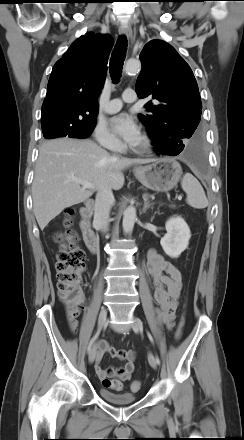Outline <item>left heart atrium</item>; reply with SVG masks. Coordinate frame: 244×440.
Wrapping results in <instances>:
<instances>
[{
    "label": "left heart atrium",
    "instance_id": "39dd6f15",
    "mask_svg": "<svg viewBox=\"0 0 244 440\" xmlns=\"http://www.w3.org/2000/svg\"><path fill=\"white\" fill-rule=\"evenodd\" d=\"M113 131L127 144L136 145L140 139V129L133 118L119 114L111 119Z\"/></svg>",
    "mask_w": 244,
    "mask_h": 440
}]
</instances>
